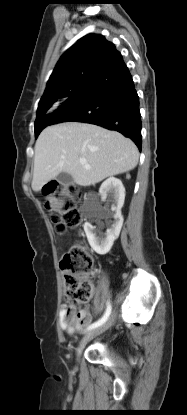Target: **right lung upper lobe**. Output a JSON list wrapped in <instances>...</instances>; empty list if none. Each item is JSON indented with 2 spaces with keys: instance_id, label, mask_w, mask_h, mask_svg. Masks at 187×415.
<instances>
[{
  "instance_id": "cb5924a9",
  "label": "right lung upper lobe",
  "mask_w": 187,
  "mask_h": 415,
  "mask_svg": "<svg viewBox=\"0 0 187 415\" xmlns=\"http://www.w3.org/2000/svg\"><path fill=\"white\" fill-rule=\"evenodd\" d=\"M121 54L102 35L88 34L68 49L53 70L38 109L57 102L77 86L107 66Z\"/></svg>"
}]
</instances>
